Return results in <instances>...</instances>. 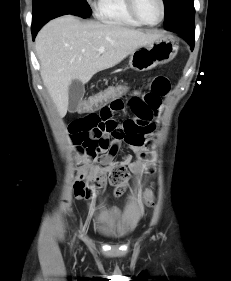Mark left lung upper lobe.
Here are the masks:
<instances>
[{
	"label": "left lung upper lobe",
	"instance_id": "5c2ea615",
	"mask_svg": "<svg viewBox=\"0 0 231 281\" xmlns=\"http://www.w3.org/2000/svg\"><path fill=\"white\" fill-rule=\"evenodd\" d=\"M165 7L164 25L169 28L175 21L195 15L193 0H163Z\"/></svg>",
	"mask_w": 231,
	"mask_h": 281
}]
</instances>
